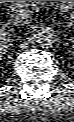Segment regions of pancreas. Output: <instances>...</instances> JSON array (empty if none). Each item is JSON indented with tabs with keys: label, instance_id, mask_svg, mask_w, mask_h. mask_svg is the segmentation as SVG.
I'll use <instances>...</instances> for the list:
<instances>
[{
	"label": "pancreas",
	"instance_id": "cf45deb5",
	"mask_svg": "<svg viewBox=\"0 0 74 122\" xmlns=\"http://www.w3.org/2000/svg\"><path fill=\"white\" fill-rule=\"evenodd\" d=\"M10 2L15 8H29L37 4L38 1H10Z\"/></svg>",
	"mask_w": 74,
	"mask_h": 122
}]
</instances>
